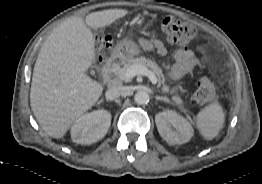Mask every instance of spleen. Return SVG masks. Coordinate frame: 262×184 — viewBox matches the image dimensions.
<instances>
[{"instance_id": "1", "label": "spleen", "mask_w": 262, "mask_h": 184, "mask_svg": "<svg viewBox=\"0 0 262 184\" xmlns=\"http://www.w3.org/2000/svg\"><path fill=\"white\" fill-rule=\"evenodd\" d=\"M197 127L206 140L216 137L223 127L224 111L222 106L215 102L205 107L196 117Z\"/></svg>"}]
</instances>
